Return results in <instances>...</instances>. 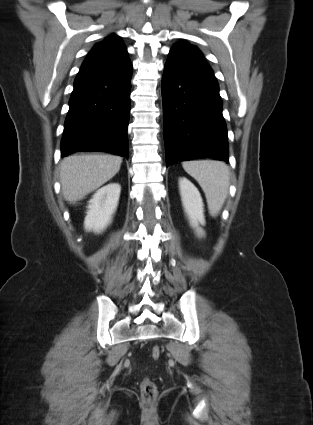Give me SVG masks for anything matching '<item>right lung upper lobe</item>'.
<instances>
[{
  "mask_svg": "<svg viewBox=\"0 0 313 425\" xmlns=\"http://www.w3.org/2000/svg\"><path fill=\"white\" fill-rule=\"evenodd\" d=\"M87 59L100 60H128V52L119 36L111 34L99 43H97L88 53Z\"/></svg>",
  "mask_w": 313,
  "mask_h": 425,
  "instance_id": "obj_1",
  "label": "right lung upper lobe"
}]
</instances>
